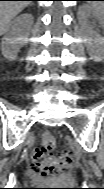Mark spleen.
Listing matches in <instances>:
<instances>
[{
    "label": "spleen",
    "mask_w": 104,
    "mask_h": 189,
    "mask_svg": "<svg viewBox=\"0 0 104 189\" xmlns=\"http://www.w3.org/2000/svg\"><path fill=\"white\" fill-rule=\"evenodd\" d=\"M90 5L96 9L98 8H103V3L101 1H93V2H89Z\"/></svg>",
    "instance_id": "1"
}]
</instances>
